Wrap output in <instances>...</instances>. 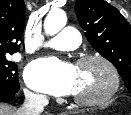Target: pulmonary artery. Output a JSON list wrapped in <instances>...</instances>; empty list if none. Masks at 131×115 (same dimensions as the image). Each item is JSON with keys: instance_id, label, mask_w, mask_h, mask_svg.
Masks as SVG:
<instances>
[{"instance_id": "pulmonary-artery-1", "label": "pulmonary artery", "mask_w": 131, "mask_h": 115, "mask_svg": "<svg viewBox=\"0 0 131 115\" xmlns=\"http://www.w3.org/2000/svg\"><path fill=\"white\" fill-rule=\"evenodd\" d=\"M80 43L79 32L71 27H66L58 34L48 39L45 46L54 48L56 50H73Z\"/></svg>"}]
</instances>
